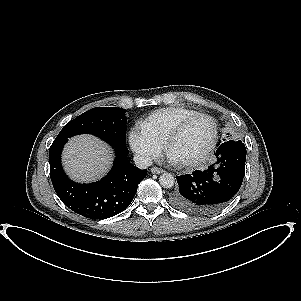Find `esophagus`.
<instances>
[{
    "label": "esophagus",
    "mask_w": 301,
    "mask_h": 301,
    "mask_svg": "<svg viewBox=\"0 0 301 301\" xmlns=\"http://www.w3.org/2000/svg\"><path fill=\"white\" fill-rule=\"evenodd\" d=\"M163 172H164V170L161 169V168H158V167L151 168V173L152 174H160V173H163Z\"/></svg>",
    "instance_id": "1"
}]
</instances>
